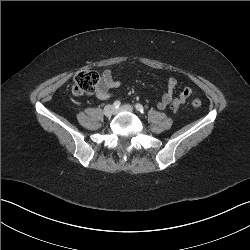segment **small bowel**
<instances>
[{
    "instance_id": "1",
    "label": "small bowel",
    "mask_w": 250,
    "mask_h": 250,
    "mask_svg": "<svg viewBox=\"0 0 250 250\" xmlns=\"http://www.w3.org/2000/svg\"><path fill=\"white\" fill-rule=\"evenodd\" d=\"M166 84L168 91L157 103L158 109L163 110L169 108L173 111H177L195 94L192 88L185 87L175 96L174 90L177 86V80L173 77L168 78ZM120 85L121 82L114 78L113 70L105 69L102 74V80L95 91V96L101 100L108 99L112 96L111 90L120 87Z\"/></svg>"
}]
</instances>
